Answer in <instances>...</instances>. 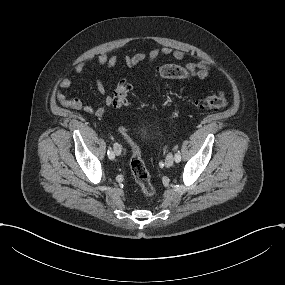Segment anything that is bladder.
I'll return each instance as SVG.
<instances>
[{
	"label": "bladder",
	"mask_w": 285,
	"mask_h": 285,
	"mask_svg": "<svg viewBox=\"0 0 285 285\" xmlns=\"http://www.w3.org/2000/svg\"><path fill=\"white\" fill-rule=\"evenodd\" d=\"M154 136L152 127L148 124H141L136 130V137L141 141H149Z\"/></svg>",
	"instance_id": "bladder-1"
}]
</instances>
